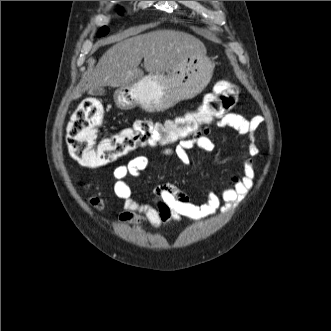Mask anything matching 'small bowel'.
I'll list each match as a JSON object with an SVG mask.
<instances>
[{
    "mask_svg": "<svg viewBox=\"0 0 331 331\" xmlns=\"http://www.w3.org/2000/svg\"><path fill=\"white\" fill-rule=\"evenodd\" d=\"M263 117L256 115L247 119L239 114L224 115L217 123L219 128H232L240 134L249 135V146L243 160L241 175H231L229 185L217 192H207L205 202L194 204L187 194L172 184H163L153 191L155 204L139 203L132 197L131 188L126 181L128 176L137 177L148 168L150 160L146 156H137L126 164H121L113 170L115 195L123 202L120 220L132 224H150L158 228L170 222H179L182 217L196 221L210 218L216 211L226 213L238 206L253 186L255 171L253 157L259 152L254 134L263 124ZM209 129L197 132L191 138L180 140L174 148L161 151L163 155L174 156L183 164L188 165V151L196 148L203 152H211L215 145L209 136Z\"/></svg>",
    "mask_w": 331,
    "mask_h": 331,
    "instance_id": "obj_1",
    "label": "small bowel"
}]
</instances>
